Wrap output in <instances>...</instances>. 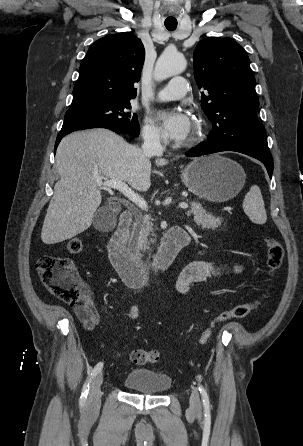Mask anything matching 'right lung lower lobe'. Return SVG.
Instances as JSON below:
<instances>
[{"mask_svg": "<svg viewBox=\"0 0 303 446\" xmlns=\"http://www.w3.org/2000/svg\"><path fill=\"white\" fill-rule=\"evenodd\" d=\"M89 128H106V129H110L112 131H115L116 133H123L119 128H117L115 126H112L110 124L101 123V122L84 123V124H81V125H77V126L71 128L69 130L61 131L58 134V136H57L56 143H55V148H57L59 142L61 141V139L65 135H67V134H69V133H71L73 131H76V130L89 129Z\"/></svg>", "mask_w": 303, "mask_h": 446, "instance_id": "obj_1", "label": "right lung lower lobe"}]
</instances>
